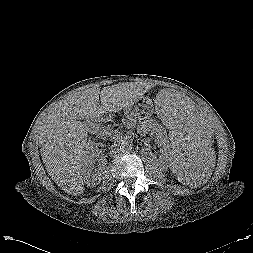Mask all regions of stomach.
Listing matches in <instances>:
<instances>
[{"label": "stomach", "mask_w": 253, "mask_h": 253, "mask_svg": "<svg viewBox=\"0 0 253 253\" xmlns=\"http://www.w3.org/2000/svg\"><path fill=\"white\" fill-rule=\"evenodd\" d=\"M153 113L154 105L148 98L138 100L124 109V114L129 120L138 122L149 119Z\"/></svg>", "instance_id": "0dacf381"}]
</instances>
